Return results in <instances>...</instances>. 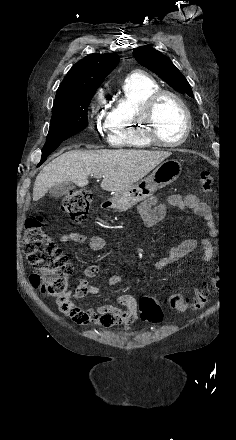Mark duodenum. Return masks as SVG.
I'll return each mask as SVG.
<instances>
[{"mask_svg": "<svg viewBox=\"0 0 236 440\" xmlns=\"http://www.w3.org/2000/svg\"><path fill=\"white\" fill-rule=\"evenodd\" d=\"M112 204H113L112 201H106L103 203L102 208H109L112 206Z\"/></svg>", "mask_w": 236, "mask_h": 440, "instance_id": "obj_1", "label": "duodenum"}]
</instances>
